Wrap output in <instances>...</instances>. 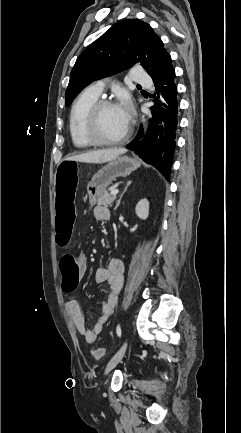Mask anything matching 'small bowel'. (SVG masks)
Wrapping results in <instances>:
<instances>
[{"mask_svg": "<svg viewBox=\"0 0 241 433\" xmlns=\"http://www.w3.org/2000/svg\"><path fill=\"white\" fill-rule=\"evenodd\" d=\"M93 215L96 220L104 221L110 217V212L107 207L97 205L94 207ZM78 267L81 273L86 271L87 259L84 255L79 256ZM123 271V263L117 258H111L108 260L106 266L97 268L95 272V281L97 283L107 282L108 293L101 304V316L92 327L87 326L85 317L83 316L76 300H68L65 303V310L70 320L78 333L83 336L87 343L92 344L97 340L104 323L113 314L123 284Z\"/></svg>", "mask_w": 241, "mask_h": 433, "instance_id": "small-bowel-1", "label": "small bowel"}]
</instances>
